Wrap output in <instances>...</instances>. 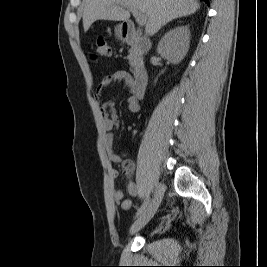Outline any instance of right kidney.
Masks as SVG:
<instances>
[{
    "mask_svg": "<svg viewBox=\"0 0 267 267\" xmlns=\"http://www.w3.org/2000/svg\"><path fill=\"white\" fill-rule=\"evenodd\" d=\"M189 40V27L187 25L177 26L161 38L157 46V52L172 64H178L188 52Z\"/></svg>",
    "mask_w": 267,
    "mask_h": 267,
    "instance_id": "1",
    "label": "right kidney"
}]
</instances>
